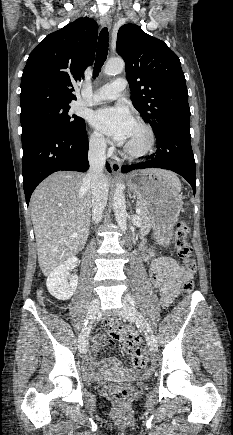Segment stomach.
Wrapping results in <instances>:
<instances>
[{"label": "stomach", "instance_id": "stomach-1", "mask_svg": "<svg viewBox=\"0 0 233 435\" xmlns=\"http://www.w3.org/2000/svg\"><path fill=\"white\" fill-rule=\"evenodd\" d=\"M127 184L140 203L146 206L156 235L167 241L183 204L180 186L168 176L142 171L129 174Z\"/></svg>", "mask_w": 233, "mask_h": 435}]
</instances>
